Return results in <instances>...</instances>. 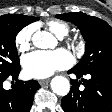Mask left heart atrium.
Wrapping results in <instances>:
<instances>
[{"label": "left heart atrium", "mask_w": 112, "mask_h": 112, "mask_svg": "<svg viewBox=\"0 0 112 112\" xmlns=\"http://www.w3.org/2000/svg\"><path fill=\"white\" fill-rule=\"evenodd\" d=\"M73 62L71 54L65 49L55 51H35L22 58V67L26 76L42 79L58 70L69 67Z\"/></svg>", "instance_id": "1"}]
</instances>
